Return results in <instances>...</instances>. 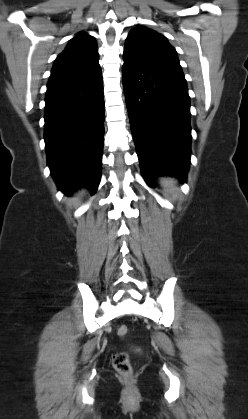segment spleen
Here are the masks:
<instances>
[{"instance_id":"3e777b00","label":"spleen","mask_w":248,"mask_h":419,"mask_svg":"<svg viewBox=\"0 0 248 419\" xmlns=\"http://www.w3.org/2000/svg\"><path fill=\"white\" fill-rule=\"evenodd\" d=\"M174 185H175V181H174V180H172V179H163V180H162V186H163V188H165V189H171V188H174Z\"/></svg>"}]
</instances>
